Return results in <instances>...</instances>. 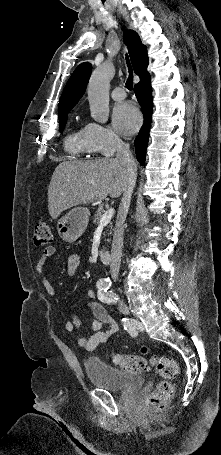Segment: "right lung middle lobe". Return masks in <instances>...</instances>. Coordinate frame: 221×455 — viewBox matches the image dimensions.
<instances>
[{
  "instance_id": "dd1d6c3e",
  "label": "right lung middle lobe",
  "mask_w": 221,
  "mask_h": 455,
  "mask_svg": "<svg viewBox=\"0 0 221 455\" xmlns=\"http://www.w3.org/2000/svg\"><path fill=\"white\" fill-rule=\"evenodd\" d=\"M69 111H70L69 109L58 111L59 112V129H60V131H62L64 126L66 125Z\"/></svg>"
}]
</instances>
